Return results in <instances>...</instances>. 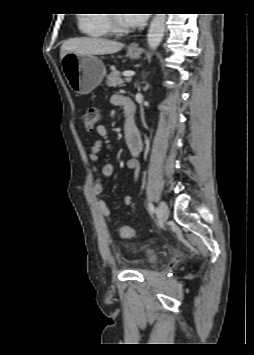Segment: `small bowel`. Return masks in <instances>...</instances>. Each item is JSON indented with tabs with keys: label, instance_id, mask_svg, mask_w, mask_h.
I'll list each match as a JSON object with an SVG mask.
<instances>
[{
	"label": "small bowel",
	"instance_id": "small-bowel-1",
	"mask_svg": "<svg viewBox=\"0 0 254 355\" xmlns=\"http://www.w3.org/2000/svg\"><path fill=\"white\" fill-rule=\"evenodd\" d=\"M127 100L129 101L128 105ZM113 102L124 108L125 117L128 114L129 107H131V113L135 116V107L130 99L117 95L113 97ZM95 133L99 139L95 140L91 146L89 158L92 162H96L99 159V154L104 148L107 150H112V145L108 140V132L106 127L103 125L97 126ZM125 142L131 154V157L127 162V166L133 174L131 183L132 185H135L138 182V174L140 170L138 156L143 149L141 135L137 128L133 129L132 131L125 130ZM93 171L95 177L91 186V192L97 198V204L101 215L106 221L111 223L113 221L112 212L103 195V178L111 177L113 175L114 165L112 163H106L100 169L96 166H93ZM124 204L127 206L132 204V198L129 195L124 197Z\"/></svg>",
	"mask_w": 254,
	"mask_h": 355
}]
</instances>
